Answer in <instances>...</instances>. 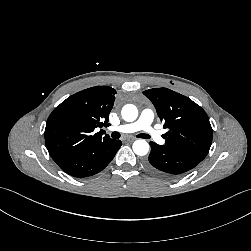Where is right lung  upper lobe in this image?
Wrapping results in <instances>:
<instances>
[{"instance_id":"cb5924a9","label":"right lung upper lobe","mask_w":251,"mask_h":251,"mask_svg":"<svg viewBox=\"0 0 251 251\" xmlns=\"http://www.w3.org/2000/svg\"><path fill=\"white\" fill-rule=\"evenodd\" d=\"M115 94L108 86L91 87L68 97L53 110L46 123L45 143L57 164L91 145L111 140L94 130L109 125Z\"/></svg>"}]
</instances>
